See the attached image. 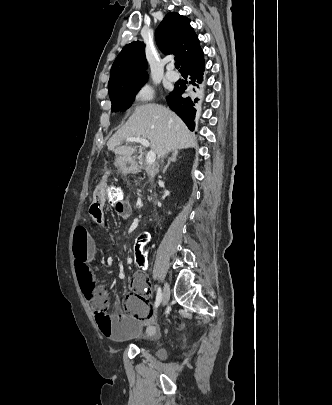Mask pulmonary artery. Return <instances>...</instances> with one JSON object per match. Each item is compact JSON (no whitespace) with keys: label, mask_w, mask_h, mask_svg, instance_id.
<instances>
[{"label":"pulmonary artery","mask_w":332,"mask_h":405,"mask_svg":"<svg viewBox=\"0 0 332 405\" xmlns=\"http://www.w3.org/2000/svg\"><path fill=\"white\" fill-rule=\"evenodd\" d=\"M165 76L168 80L173 81V82H175L179 79L178 74L175 71H173L172 65L168 66Z\"/></svg>","instance_id":"pulmonary-artery-1"}]
</instances>
